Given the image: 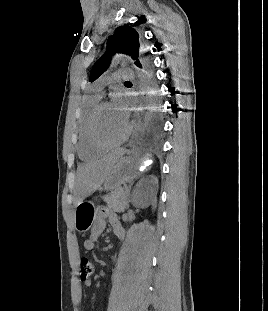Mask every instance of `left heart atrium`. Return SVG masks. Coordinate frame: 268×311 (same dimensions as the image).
Returning <instances> with one entry per match:
<instances>
[{"mask_svg":"<svg viewBox=\"0 0 268 311\" xmlns=\"http://www.w3.org/2000/svg\"><path fill=\"white\" fill-rule=\"evenodd\" d=\"M112 108L116 111L119 117L127 123L128 120V108L121 94H115L111 102Z\"/></svg>","mask_w":268,"mask_h":311,"instance_id":"39dd6f15","label":"left heart atrium"}]
</instances>
